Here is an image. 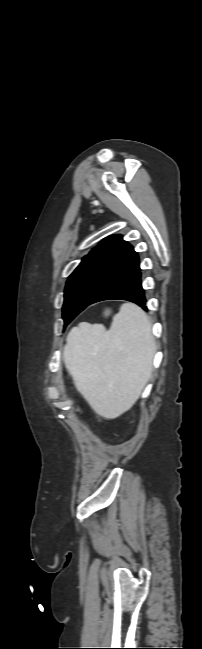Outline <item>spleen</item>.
<instances>
[{"instance_id":"obj_1","label":"spleen","mask_w":202,"mask_h":649,"mask_svg":"<svg viewBox=\"0 0 202 649\" xmlns=\"http://www.w3.org/2000/svg\"><path fill=\"white\" fill-rule=\"evenodd\" d=\"M155 341L146 313L124 303L107 331L81 323L67 336L63 358L77 390L102 417L115 418L139 398L152 371Z\"/></svg>"}]
</instances>
